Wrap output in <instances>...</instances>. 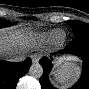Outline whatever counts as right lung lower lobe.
I'll return each instance as SVG.
<instances>
[{
	"label": "right lung lower lobe",
	"instance_id": "1",
	"mask_svg": "<svg viewBox=\"0 0 89 89\" xmlns=\"http://www.w3.org/2000/svg\"><path fill=\"white\" fill-rule=\"evenodd\" d=\"M32 61L27 58L23 62L13 63L0 61V86L2 89H15L20 77L24 76Z\"/></svg>",
	"mask_w": 89,
	"mask_h": 89
}]
</instances>
